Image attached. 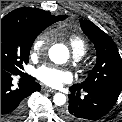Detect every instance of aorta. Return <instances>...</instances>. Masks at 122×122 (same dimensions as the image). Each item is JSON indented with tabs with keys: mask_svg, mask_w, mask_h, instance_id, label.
Listing matches in <instances>:
<instances>
[{
	"mask_svg": "<svg viewBox=\"0 0 122 122\" xmlns=\"http://www.w3.org/2000/svg\"><path fill=\"white\" fill-rule=\"evenodd\" d=\"M49 58L56 64H63L69 58V50L64 44H54L49 49ZM53 102L57 106H62L66 103V96L62 93H56L53 96Z\"/></svg>",
	"mask_w": 122,
	"mask_h": 122,
	"instance_id": "obj_1",
	"label": "aorta"
}]
</instances>
